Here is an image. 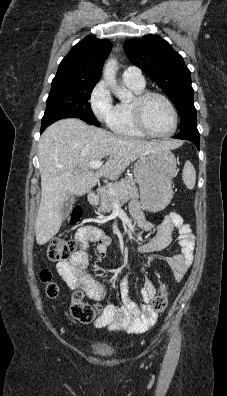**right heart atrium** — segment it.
<instances>
[{
    "instance_id": "d8ad5b80",
    "label": "right heart atrium",
    "mask_w": 227,
    "mask_h": 396,
    "mask_svg": "<svg viewBox=\"0 0 227 396\" xmlns=\"http://www.w3.org/2000/svg\"><path fill=\"white\" fill-rule=\"evenodd\" d=\"M89 105L94 116L98 120L107 123L114 105L111 93L103 81H99L93 87L89 96Z\"/></svg>"
}]
</instances>
